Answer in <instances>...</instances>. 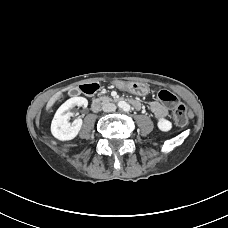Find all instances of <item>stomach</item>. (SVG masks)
Listing matches in <instances>:
<instances>
[{"instance_id":"0dacf381","label":"stomach","mask_w":228,"mask_h":228,"mask_svg":"<svg viewBox=\"0 0 228 228\" xmlns=\"http://www.w3.org/2000/svg\"><path fill=\"white\" fill-rule=\"evenodd\" d=\"M119 85L124 86L129 92L135 95L145 96L149 93L148 85L143 82L131 81L126 84L120 83Z\"/></svg>"}]
</instances>
